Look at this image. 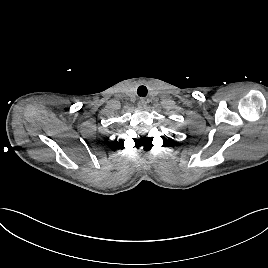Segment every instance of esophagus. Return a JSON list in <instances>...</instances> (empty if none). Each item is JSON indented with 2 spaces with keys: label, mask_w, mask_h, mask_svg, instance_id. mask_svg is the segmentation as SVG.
<instances>
[{
  "label": "esophagus",
  "mask_w": 268,
  "mask_h": 268,
  "mask_svg": "<svg viewBox=\"0 0 268 268\" xmlns=\"http://www.w3.org/2000/svg\"><path fill=\"white\" fill-rule=\"evenodd\" d=\"M137 105H138V108L144 109L146 107V105H147V102H146V100L144 98H141L138 101Z\"/></svg>",
  "instance_id": "esophagus-1"
}]
</instances>
